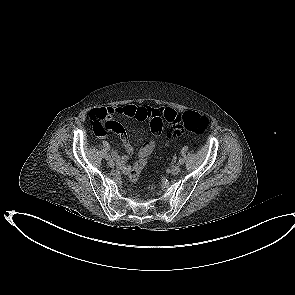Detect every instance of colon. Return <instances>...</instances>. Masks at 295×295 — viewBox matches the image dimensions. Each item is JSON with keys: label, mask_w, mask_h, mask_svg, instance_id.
<instances>
[{"label": "colon", "mask_w": 295, "mask_h": 295, "mask_svg": "<svg viewBox=\"0 0 295 295\" xmlns=\"http://www.w3.org/2000/svg\"><path fill=\"white\" fill-rule=\"evenodd\" d=\"M168 123L170 128L177 130H188L196 134H203L208 128L209 120L206 116L195 111H187L183 114H169ZM119 124V123H118ZM158 146L154 138H149L141 147L138 160L129 169L128 175L131 182L135 183L150 157Z\"/></svg>", "instance_id": "1"}]
</instances>
